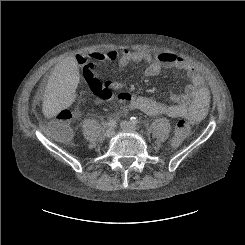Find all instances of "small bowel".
<instances>
[{
	"mask_svg": "<svg viewBox=\"0 0 245 245\" xmlns=\"http://www.w3.org/2000/svg\"><path fill=\"white\" fill-rule=\"evenodd\" d=\"M92 60L104 62L113 60L118 67H125L132 63H146L143 71L146 77L159 75L164 68H178L186 72L191 83L181 94L172 93L170 103H161L146 96H135L128 107L139 110L153 116L165 114L172 118H186L190 122H198L205 117L209 105V91L205 85L202 75L186 60L171 53H146L143 51H130L119 48L110 51L94 50L90 53ZM76 68L74 61H67L60 67L61 73ZM126 87L125 83H113L107 86L108 90L120 92ZM104 98L103 94H96ZM105 99V98H104Z\"/></svg>",
	"mask_w": 245,
	"mask_h": 245,
	"instance_id": "1",
	"label": "small bowel"
}]
</instances>
